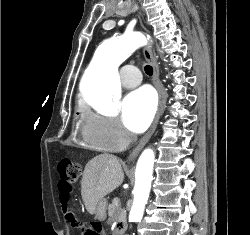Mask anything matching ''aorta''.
<instances>
[{"label": "aorta", "mask_w": 250, "mask_h": 235, "mask_svg": "<svg viewBox=\"0 0 250 235\" xmlns=\"http://www.w3.org/2000/svg\"><path fill=\"white\" fill-rule=\"evenodd\" d=\"M147 43L140 32L124 35L120 40H106L96 50L93 61L86 72V83L82 93L91 105L111 107L119 99L120 78L118 65L137 48ZM155 155L153 150L145 149L136 166L133 206L129 222H140L147 203Z\"/></svg>", "instance_id": "762f6f07"}]
</instances>
